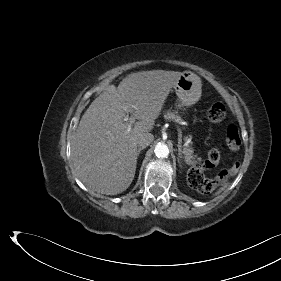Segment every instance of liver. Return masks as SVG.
Instances as JSON below:
<instances>
[{"mask_svg":"<svg viewBox=\"0 0 281 281\" xmlns=\"http://www.w3.org/2000/svg\"><path fill=\"white\" fill-rule=\"evenodd\" d=\"M181 74L165 70L132 73L117 88L108 86L91 103L71 143L73 165L85 185L106 195L130 186L136 171L137 138L153 129ZM127 112L138 120L130 131Z\"/></svg>","mask_w":281,"mask_h":281,"instance_id":"1","label":"liver"}]
</instances>
